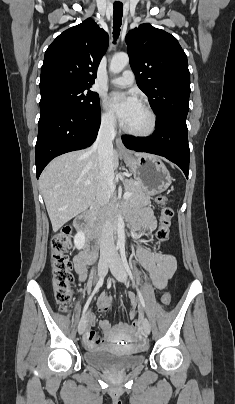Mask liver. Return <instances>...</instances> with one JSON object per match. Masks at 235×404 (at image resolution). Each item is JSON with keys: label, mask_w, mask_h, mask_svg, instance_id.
Masks as SVG:
<instances>
[{"label": "liver", "mask_w": 235, "mask_h": 404, "mask_svg": "<svg viewBox=\"0 0 235 404\" xmlns=\"http://www.w3.org/2000/svg\"><path fill=\"white\" fill-rule=\"evenodd\" d=\"M118 158L117 151L113 150L114 171L119 165ZM99 180L98 156L91 149L63 154L47 165L40 176L39 187L54 232L92 205Z\"/></svg>", "instance_id": "1"}]
</instances>
